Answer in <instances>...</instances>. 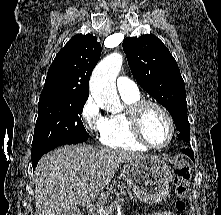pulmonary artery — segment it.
<instances>
[{
	"label": "pulmonary artery",
	"instance_id": "e3ab8cb5",
	"mask_svg": "<svg viewBox=\"0 0 221 215\" xmlns=\"http://www.w3.org/2000/svg\"><path fill=\"white\" fill-rule=\"evenodd\" d=\"M116 84L120 94H135L139 92L136 83L125 76H120Z\"/></svg>",
	"mask_w": 221,
	"mask_h": 215
}]
</instances>
